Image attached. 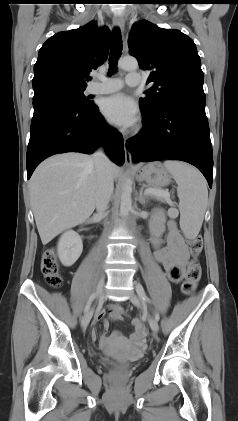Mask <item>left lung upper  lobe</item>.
Wrapping results in <instances>:
<instances>
[{
	"label": "left lung upper lobe",
	"instance_id": "5c2ea615",
	"mask_svg": "<svg viewBox=\"0 0 238 421\" xmlns=\"http://www.w3.org/2000/svg\"><path fill=\"white\" fill-rule=\"evenodd\" d=\"M129 49L143 70H151L153 86L139 100L142 113L154 115L178 96L203 91L201 61L193 40L178 30L160 28L146 20L133 26Z\"/></svg>",
	"mask_w": 238,
	"mask_h": 421
}]
</instances>
